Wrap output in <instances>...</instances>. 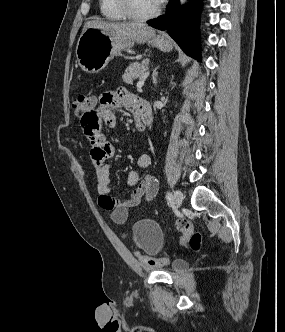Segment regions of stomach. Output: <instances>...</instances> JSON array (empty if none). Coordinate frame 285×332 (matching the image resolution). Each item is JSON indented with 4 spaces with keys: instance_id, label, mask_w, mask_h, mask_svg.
Here are the masks:
<instances>
[{
    "instance_id": "1",
    "label": "stomach",
    "mask_w": 285,
    "mask_h": 332,
    "mask_svg": "<svg viewBox=\"0 0 285 332\" xmlns=\"http://www.w3.org/2000/svg\"><path fill=\"white\" fill-rule=\"evenodd\" d=\"M150 45L162 51L172 50V43L164 36H153ZM132 42L112 36L97 28L85 29L78 39L76 57L79 66L86 73L94 74L104 69L109 61L121 51L130 48Z\"/></svg>"
}]
</instances>
